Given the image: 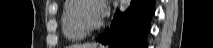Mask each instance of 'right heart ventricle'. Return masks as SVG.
<instances>
[{"instance_id": "right-heart-ventricle-1", "label": "right heart ventricle", "mask_w": 213, "mask_h": 48, "mask_svg": "<svg viewBox=\"0 0 213 48\" xmlns=\"http://www.w3.org/2000/svg\"><path fill=\"white\" fill-rule=\"evenodd\" d=\"M79 2V0H66L62 8V33L64 37L71 42L83 40L88 35V33L82 29L76 19V7Z\"/></svg>"}]
</instances>
